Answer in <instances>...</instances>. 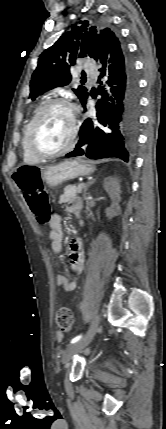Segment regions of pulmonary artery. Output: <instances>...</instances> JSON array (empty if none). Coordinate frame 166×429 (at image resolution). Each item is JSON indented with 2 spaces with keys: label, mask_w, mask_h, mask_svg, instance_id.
Masks as SVG:
<instances>
[{
  "label": "pulmonary artery",
  "mask_w": 166,
  "mask_h": 429,
  "mask_svg": "<svg viewBox=\"0 0 166 429\" xmlns=\"http://www.w3.org/2000/svg\"><path fill=\"white\" fill-rule=\"evenodd\" d=\"M94 72H95V68H94V67H92V66H87V67L85 68V73H86L88 76H93V75H94Z\"/></svg>",
  "instance_id": "obj_1"
}]
</instances>
